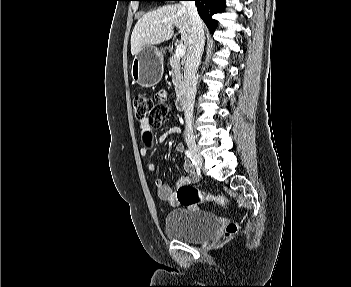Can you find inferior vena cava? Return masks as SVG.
<instances>
[{
  "mask_svg": "<svg viewBox=\"0 0 351 287\" xmlns=\"http://www.w3.org/2000/svg\"><path fill=\"white\" fill-rule=\"evenodd\" d=\"M182 5L187 9L192 26V40L188 49L187 59L184 68V116L185 131L184 134L188 139H194L193 134V109L196 95V73L201 61L204 49L205 36L204 24L198 15L195 1H183Z\"/></svg>",
  "mask_w": 351,
  "mask_h": 287,
  "instance_id": "obj_1",
  "label": "inferior vena cava"
}]
</instances>
